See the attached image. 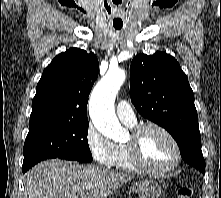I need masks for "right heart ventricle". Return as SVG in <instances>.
<instances>
[{"label": "right heart ventricle", "instance_id": "e07e8e85", "mask_svg": "<svg viewBox=\"0 0 221 198\" xmlns=\"http://www.w3.org/2000/svg\"><path fill=\"white\" fill-rule=\"evenodd\" d=\"M126 125L129 126L130 128H133L135 124L133 125L126 124ZM111 166L118 170H123V171H131V172L138 171L130 160L126 143L114 144V155Z\"/></svg>", "mask_w": 221, "mask_h": 198}]
</instances>
